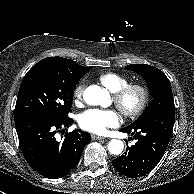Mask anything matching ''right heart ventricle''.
Returning <instances> with one entry per match:
<instances>
[{
	"label": "right heart ventricle",
	"mask_w": 194,
	"mask_h": 194,
	"mask_svg": "<svg viewBox=\"0 0 194 194\" xmlns=\"http://www.w3.org/2000/svg\"><path fill=\"white\" fill-rule=\"evenodd\" d=\"M100 83L111 93L116 92L129 83V79L119 73L106 72L99 75Z\"/></svg>",
	"instance_id": "right-heart-ventricle-1"
}]
</instances>
